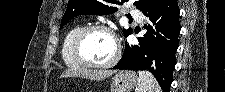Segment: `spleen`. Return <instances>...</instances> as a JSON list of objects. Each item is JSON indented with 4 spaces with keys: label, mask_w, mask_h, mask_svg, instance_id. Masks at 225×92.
Wrapping results in <instances>:
<instances>
[{
    "label": "spleen",
    "mask_w": 225,
    "mask_h": 92,
    "mask_svg": "<svg viewBox=\"0 0 225 92\" xmlns=\"http://www.w3.org/2000/svg\"><path fill=\"white\" fill-rule=\"evenodd\" d=\"M137 92H162L154 76L148 71H138Z\"/></svg>",
    "instance_id": "obj_1"
}]
</instances>
